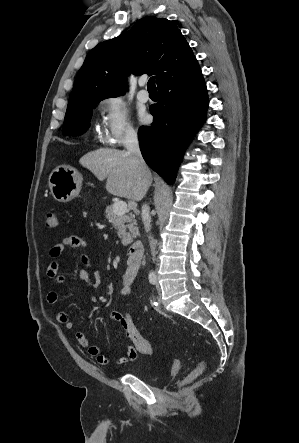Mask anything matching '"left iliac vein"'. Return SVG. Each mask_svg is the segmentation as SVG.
<instances>
[{
	"label": "left iliac vein",
	"mask_w": 299,
	"mask_h": 443,
	"mask_svg": "<svg viewBox=\"0 0 299 443\" xmlns=\"http://www.w3.org/2000/svg\"><path fill=\"white\" fill-rule=\"evenodd\" d=\"M156 288H157V291H158V295L161 298V287H160L159 283H157V282H156Z\"/></svg>",
	"instance_id": "1"
}]
</instances>
